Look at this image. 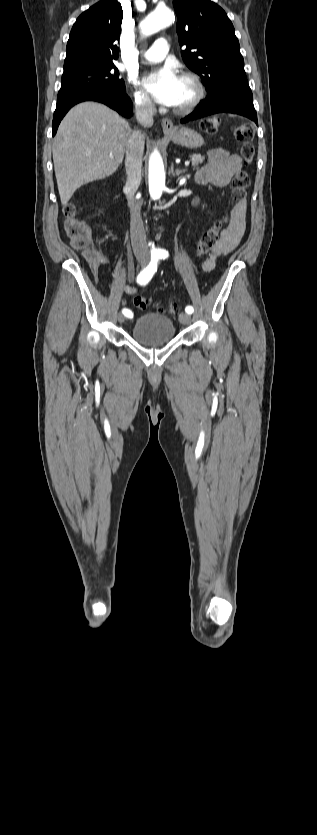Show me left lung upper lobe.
I'll return each instance as SVG.
<instances>
[{"label": "left lung upper lobe", "instance_id": "left-lung-upper-lobe-1", "mask_svg": "<svg viewBox=\"0 0 317 835\" xmlns=\"http://www.w3.org/2000/svg\"><path fill=\"white\" fill-rule=\"evenodd\" d=\"M177 34L186 65L217 100L230 86L247 84L244 60L234 27L225 11L209 0H173Z\"/></svg>", "mask_w": 317, "mask_h": 835}]
</instances>
